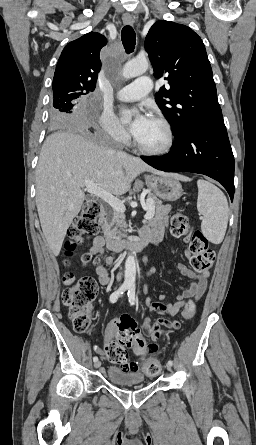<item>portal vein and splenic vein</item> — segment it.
Wrapping results in <instances>:
<instances>
[{"mask_svg":"<svg viewBox=\"0 0 256 445\" xmlns=\"http://www.w3.org/2000/svg\"><path fill=\"white\" fill-rule=\"evenodd\" d=\"M84 185L86 187V191L90 194H93L105 202H107L115 211L119 213H124L126 208L122 201H120L118 198L113 196L111 193L107 192L106 190L100 188L97 186L92 180H85ZM147 211L144 216L146 220H150L154 217L155 209L153 206V202L148 199L147 200Z\"/></svg>","mask_w":256,"mask_h":445,"instance_id":"portal-vein-and-splenic-vein-1","label":"portal vein and splenic vein"}]
</instances>
